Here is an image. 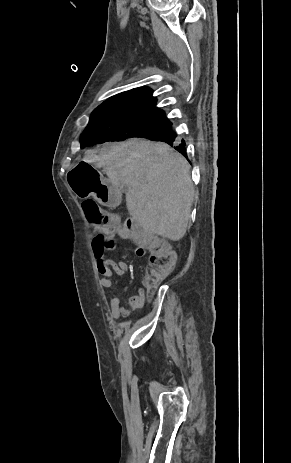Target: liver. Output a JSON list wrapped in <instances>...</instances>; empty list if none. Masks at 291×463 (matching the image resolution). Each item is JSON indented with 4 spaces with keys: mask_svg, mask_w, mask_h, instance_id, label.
Instances as JSON below:
<instances>
[{
    "mask_svg": "<svg viewBox=\"0 0 291 463\" xmlns=\"http://www.w3.org/2000/svg\"><path fill=\"white\" fill-rule=\"evenodd\" d=\"M86 163L103 168L116 188L126 186V206L146 232L178 241L186 233L194 186L187 160L169 145L133 138L89 152Z\"/></svg>",
    "mask_w": 291,
    "mask_h": 463,
    "instance_id": "liver-1",
    "label": "liver"
}]
</instances>
